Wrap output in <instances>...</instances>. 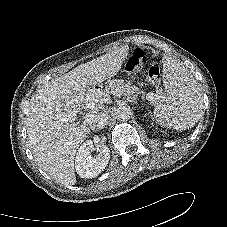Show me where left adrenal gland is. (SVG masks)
Returning <instances> with one entry per match:
<instances>
[{
	"mask_svg": "<svg viewBox=\"0 0 227 227\" xmlns=\"http://www.w3.org/2000/svg\"><path fill=\"white\" fill-rule=\"evenodd\" d=\"M128 101H129V102L136 103V96H134V97H129V98H128Z\"/></svg>",
	"mask_w": 227,
	"mask_h": 227,
	"instance_id": "left-adrenal-gland-1",
	"label": "left adrenal gland"
}]
</instances>
